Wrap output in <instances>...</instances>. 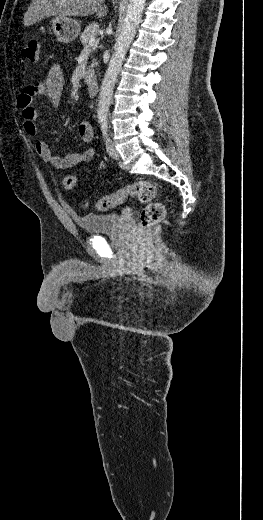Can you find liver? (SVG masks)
Here are the masks:
<instances>
[{"mask_svg": "<svg viewBox=\"0 0 263 520\" xmlns=\"http://www.w3.org/2000/svg\"><path fill=\"white\" fill-rule=\"evenodd\" d=\"M105 0H32L24 15L25 26L33 25L50 16L86 17L96 14L98 18L107 14Z\"/></svg>", "mask_w": 263, "mask_h": 520, "instance_id": "1", "label": "liver"}]
</instances>
